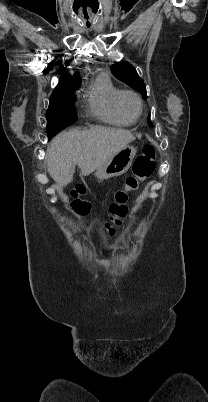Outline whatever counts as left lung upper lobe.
Masks as SVG:
<instances>
[{
	"instance_id": "5c2ea615",
	"label": "left lung upper lobe",
	"mask_w": 208,
	"mask_h": 402,
	"mask_svg": "<svg viewBox=\"0 0 208 402\" xmlns=\"http://www.w3.org/2000/svg\"><path fill=\"white\" fill-rule=\"evenodd\" d=\"M111 71L116 78L138 91L144 99L147 98L146 86L130 63L121 62L114 64L111 67Z\"/></svg>"
}]
</instances>
